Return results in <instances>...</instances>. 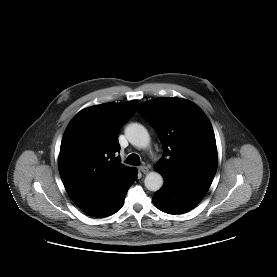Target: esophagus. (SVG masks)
I'll return each instance as SVG.
<instances>
[{
	"label": "esophagus",
	"mask_w": 277,
	"mask_h": 277,
	"mask_svg": "<svg viewBox=\"0 0 277 277\" xmlns=\"http://www.w3.org/2000/svg\"><path fill=\"white\" fill-rule=\"evenodd\" d=\"M139 170L144 174H147L149 172V168L145 165L140 166Z\"/></svg>",
	"instance_id": "obj_1"
}]
</instances>
